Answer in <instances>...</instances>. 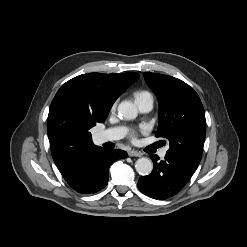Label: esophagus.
<instances>
[{"label": "esophagus", "instance_id": "esophagus-1", "mask_svg": "<svg viewBox=\"0 0 247 247\" xmlns=\"http://www.w3.org/2000/svg\"><path fill=\"white\" fill-rule=\"evenodd\" d=\"M128 155L130 157H141L142 156V153L140 151H136V150H130L128 152Z\"/></svg>", "mask_w": 247, "mask_h": 247}]
</instances>
